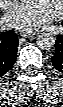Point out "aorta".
<instances>
[{
    "instance_id": "1",
    "label": "aorta",
    "mask_w": 63,
    "mask_h": 107,
    "mask_svg": "<svg viewBox=\"0 0 63 107\" xmlns=\"http://www.w3.org/2000/svg\"><path fill=\"white\" fill-rule=\"evenodd\" d=\"M37 44L41 49L49 50L55 44V39L51 33L43 32L37 38Z\"/></svg>"
}]
</instances>
